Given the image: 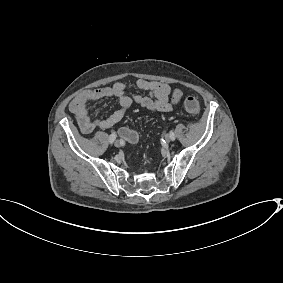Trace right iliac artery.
<instances>
[{
  "mask_svg": "<svg viewBox=\"0 0 283 283\" xmlns=\"http://www.w3.org/2000/svg\"><path fill=\"white\" fill-rule=\"evenodd\" d=\"M117 135L116 133H112L110 136H109V142L110 144H113V142L115 141Z\"/></svg>",
  "mask_w": 283,
  "mask_h": 283,
  "instance_id": "1",
  "label": "right iliac artery"
}]
</instances>
